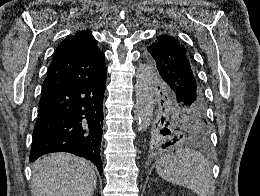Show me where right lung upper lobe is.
Here are the masks:
<instances>
[{
	"label": "right lung upper lobe",
	"instance_id": "obj_1",
	"mask_svg": "<svg viewBox=\"0 0 260 196\" xmlns=\"http://www.w3.org/2000/svg\"><path fill=\"white\" fill-rule=\"evenodd\" d=\"M103 75H106L104 53L89 31H79L57 47L41 97Z\"/></svg>",
	"mask_w": 260,
	"mask_h": 196
}]
</instances>
